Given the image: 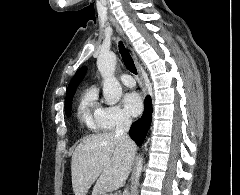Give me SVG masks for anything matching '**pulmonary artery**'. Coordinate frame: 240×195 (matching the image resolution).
<instances>
[{"label":"pulmonary artery","mask_w":240,"mask_h":195,"mask_svg":"<svg viewBox=\"0 0 240 195\" xmlns=\"http://www.w3.org/2000/svg\"><path fill=\"white\" fill-rule=\"evenodd\" d=\"M121 81L127 86L134 85V80L130 78V75H123Z\"/></svg>","instance_id":"1"}]
</instances>
